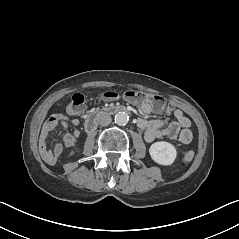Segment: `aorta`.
Here are the masks:
<instances>
[{
    "label": "aorta",
    "instance_id": "762f6f07",
    "mask_svg": "<svg viewBox=\"0 0 239 239\" xmlns=\"http://www.w3.org/2000/svg\"><path fill=\"white\" fill-rule=\"evenodd\" d=\"M114 120H115V123L117 125H126L129 121V116L127 113L125 112H118L115 114V117H114Z\"/></svg>",
    "mask_w": 239,
    "mask_h": 239
}]
</instances>
